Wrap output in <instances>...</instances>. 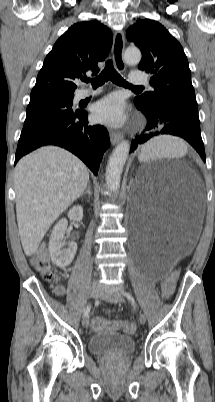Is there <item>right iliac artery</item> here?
I'll return each mask as SVG.
<instances>
[{
	"label": "right iliac artery",
	"instance_id": "obj_1",
	"mask_svg": "<svg viewBox=\"0 0 215 402\" xmlns=\"http://www.w3.org/2000/svg\"><path fill=\"white\" fill-rule=\"evenodd\" d=\"M90 310H91V305L89 304V305H87V307L84 310V317H88Z\"/></svg>",
	"mask_w": 215,
	"mask_h": 402
}]
</instances>
